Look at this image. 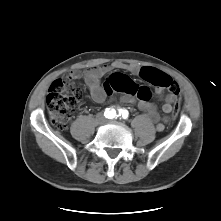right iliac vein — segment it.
Instances as JSON below:
<instances>
[{
	"instance_id": "obj_1",
	"label": "right iliac vein",
	"mask_w": 221,
	"mask_h": 221,
	"mask_svg": "<svg viewBox=\"0 0 221 221\" xmlns=\"http://www.w3.org/2000/svg\"><path fill=\"white\" fill-rule=\"evenodd\" d=\"M104 116L102 115V114H99L98 116H97V121L99 122V123H101V122H103L104 121Z\"/></svg>"
}]
</instances>
